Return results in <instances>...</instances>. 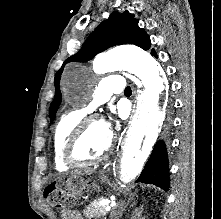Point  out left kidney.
Segmentation results:
<instances>
[{
  "mask_svg": "<svg viewBox=\"0 0 221 219\" xmlns=\"http://www.w3.org/2000/svg\"><path fill=\"white\" fill-rule=\"evenodd\" d=\"M133 219H144V218L141 216V211L138 212V210H137L135 216L133 217Z\"/></svg>",
  "mask_w": 221,
  "mask_h": 219,
  "instance_id": "5707ae66",
  "label": "left kidney"
}]
</instances>
